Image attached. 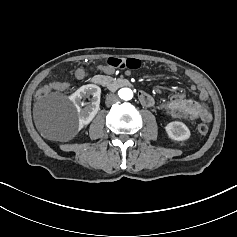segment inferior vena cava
<instances>
[{"label":"inferior vena cava","mask_w":237,"mask_h":237,"mask_svg":"<svg viewBox=\"0 0 237 237\" xmlns=\"http://www.w3.org/2000/svg\"><path fill=\"white\" fill-rule=\"evenodd\" d=\"M117 101H118V96L115 94H108L106 97V105L107 106H111L112 104H114Z\"/></svg>","instance_id":"1"}]
</instances>
